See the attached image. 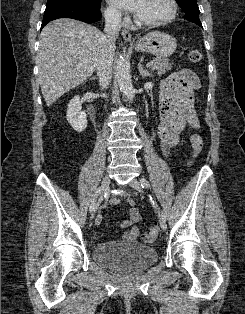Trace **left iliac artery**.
I'll list each match as a JSON object with an SVG mask.
<instances>
[{"label":"left iliac artery","instance_id":"left-iliac-artery-1","mask_svg":"<svg viewBox=\"0 0 245 314\" xmlns=\"http://www.w3.org/2000/svg\"><path fill=\"white\" fill-rule=\"evenodd\" d=\"M140 183H141L142 188H150V183L148 182L147 179L141 178ZM150 199H151L152 204L155 205V201L152 199V197H150ZM161 218L164 221H166V215L163 212H161Z\"/></svg>","mask_w":245,"mask_h":314}]
</instances>
